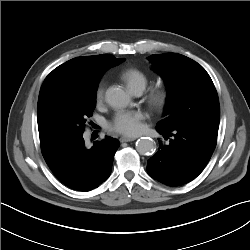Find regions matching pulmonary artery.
I'll list each match as a JSON object with an SVG mask.
<instances>
[{
	"instance_id": "1",
	"label": "pulmonary artery",
	"mask_w": 250,
	"mask_h": 250,
	"mask_svg": "<svg viewBox=\"0 0 250 250\" xmlns=\"http://www.w3.org/2000/svg\"><path fill=\"white\" fill-rule=\"evenodd\" d=\"M134 92V94H136V95H140L141 93H142V90H135V91H133Z\"/></svg>"
}]
</instances>
